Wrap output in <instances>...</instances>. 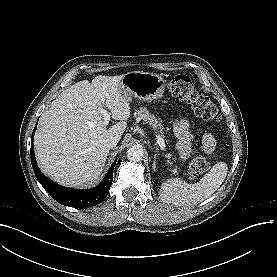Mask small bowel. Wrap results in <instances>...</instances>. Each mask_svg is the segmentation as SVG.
Listing matches in <instances>:
<instances>
[{
  "label": "small bowel",
  "mask_w": 277,
  "mask_h": 277,
  "mask_svg": "<svg viewBox=\"0 0 277 277\" xmlns=\"http://www.w3.org/2000/svg\"><path fill=\"white\" fill-rule=\"evenodd\" d=\"M174 134L177 137L178 156L182 159L189 158L200 150L204 154H211L216 147V139L211 133L202 136L199 144L193 145L192 131L193 127L186 119H171Z\"/></svg>",
  "instance_id": "obj_1"
}]
</instances>
